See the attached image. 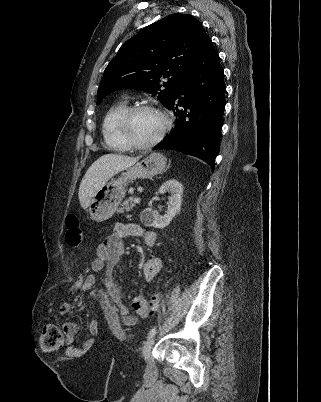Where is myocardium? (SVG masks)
I'll return each mask as SVG.
<instances>
[{
  "label": "myocardium",
  "mask_w": 321,
  "mask_h": 402,
  "mask_svg": "<svg viewBox=\"0 0 321 402\" xmlns=\"http://www.w3.org/2000/svg\"><path fill=\"white\" fill-rule=\"evenodd\" d=\"M141 111H154L159 113L163 120L164 125L160 133L156 138L148 143L137 142L130 133V122L132 117ZM172 125V119L170 115L164 111L162 108L151 105V104H138L128 107L121 115L118 121V130L123 141L132 149L136 150H148L156 146L165 137L167 132L170 130Z\"/></svg>",
  "instance_id": "f54148a6"
}]
</instances>
